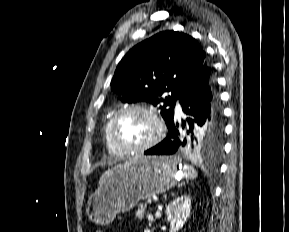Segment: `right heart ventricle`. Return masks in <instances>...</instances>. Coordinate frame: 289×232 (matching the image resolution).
<instances>
[{"instance_id": "obj_1", "label": "right heart ventricle", "mask_w": 289, "mask_h": 232, "mask_svg": "<svg viewBox=\"0 0 289 232\" xmlns=\"http://www.w3.org/2000/svg\"><path fill=\"white\" fill-rule=\"evenodd\" d=\"M112 117H109L103 127V138H104V143L105 146L108 150V152L112 155H117V156H121L124 153L121 152L119 149H117L114 144L112 143L110 136H109V125H110V121H111Z\"/></svg>"}]
</instances>
